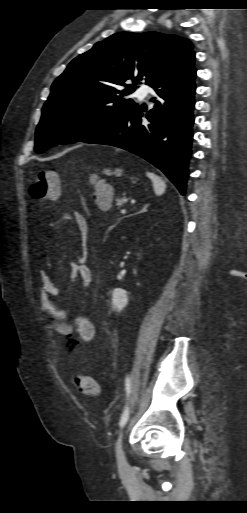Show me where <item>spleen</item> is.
Instances as JSON below:
<instances>
[{
	"label": "spleen",
	"instance_id": "3e777b00",
	"mask_svg": "<svg viewBox=\"0 0 247 513\" xmlns=\"http://www.w3.org/2000/svg\"><path fill=\"white\" fill-rule=\"evenodd\" d=\"M149 177L152 180L155 194L157 196H161L162 194H164L166 187H167L165 181L162 180L161 177H159L153 173H150Z\"/></svg>",
	"mask_w": 247,
	"mask_h": 513
}]
</instances>
